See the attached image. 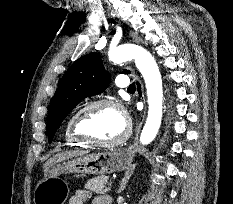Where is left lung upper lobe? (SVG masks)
<instances>
[{
	"instance_id": "5c2ea615",
	"label": "left lung upper lobe",
	"mask_w": 233,
	"mask_h": 204,
	"mask_svg": "<svg viewBox=\"0 0 233 204\" xmlns=\"http://www.w3.org/2000/svg\"><path fill=\"white\" fill-rule=\"evenodd\" d=\"M124 73H130L125 70ZM110 83L101 57L90 53L77 59L62 77L52 98L48 113L47 131L49 143L65 117L80 100L102 93Z\"/></svg>"
}]
</instances>
